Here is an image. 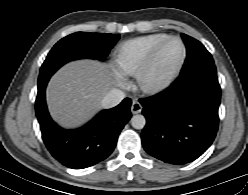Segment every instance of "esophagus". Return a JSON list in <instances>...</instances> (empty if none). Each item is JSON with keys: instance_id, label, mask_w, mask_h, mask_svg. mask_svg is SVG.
Returning a JSON list of instances; mask_svg holds the SVG:
<instances>
[{"instance_id": "esophagus-1", "label": "esophagus", "mask_w": 248, "mask_h": 195, "mask_svg": "<svg viewBox=\"0 0 248 195\" xmlns=\"http://www.w3.org/2000/svg\"><path fill=\"white\" fill-rule=\"evenodd\" d=\"M142 111V105L137 100H134L131 105L132 114H138Z\"/></svg>"}]
</instances>
